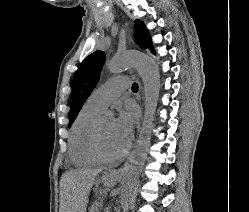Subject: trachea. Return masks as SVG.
Masks as SVG:
<instances>
[{"label": "trachea", "instance_id": "1", "mask_svg": "<svg viewBox=\"0 0 249 212\" xmlns=\"http://www.w3.org/2000/svg\"><path fill=\"white\" fill-rule=\"evenodd\" d=\"M132 90H138V84L137 83H133Z\"/></svg>", "mask_w": 249, "mask_h": 212}]
</instances>
